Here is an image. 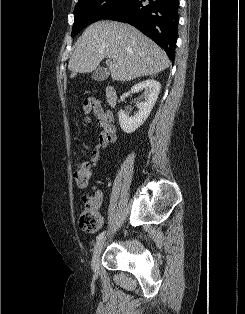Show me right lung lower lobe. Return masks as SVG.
I'll return each mask as SVG.
<instances>
[{
    "mask_svg": "<svg viewBox=\"0 0 245 314\" xmlns=\"http://www.w3.org/2000/svg\"><path fill=\"white\" fill-rule=\"evenodd\" d=\"M179 0H129L103 19L121 21L139 29L174 61Z\"/></svg>",
    "mask_w": 245,
    "mask_h": 314,
    "instance_id": "98d812e1",
    "label": "right lung lower lobe"
}]
</instances>
